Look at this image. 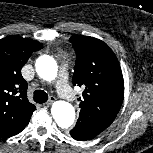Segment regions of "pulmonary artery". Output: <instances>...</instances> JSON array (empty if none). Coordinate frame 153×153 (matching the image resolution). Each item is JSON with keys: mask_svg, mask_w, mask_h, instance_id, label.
Masks as SVG:
<instances>
[{"mask_svg": "<svg viewBox=\"0 0 153 153\" xmlns=\"http://www.w3.org/2000/svg\"><path fill=\"white\" fill-rule=\"evenodd\" d=\"M56 88L59 95L64 99L69 101H73L75 99L74 93L68 84L66 64H63L60 69L58 80L56 82Z\"/></svg>", "mask_w": 153, "mask_h": 153, "instance_id": "obj_1", "label": "pulmonary artery"}]
</instances>
